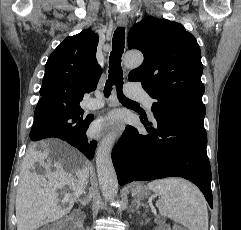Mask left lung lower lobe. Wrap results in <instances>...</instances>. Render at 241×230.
I'll return each mask as SVG.
<instances>
[{
	"label": "left lung lower lobe",
	"mask_w": 241,
	"mask_h": 230,
	"mask_svg": "<svg viewBox=\"0 0 241 230\" xmlns=\"http://www.w3.org/2000/svg\"><path fill=\"white\" fill-rule=\"evenodd\" d=\"M157 126L142 121L149 134L127 126L112 151L120 185L165 177H183L203 192L212 208L211 168L204 119L169 109L154 110Z\"/></svg>",
	"instance_id": "obj_1"
}]
</instances>
